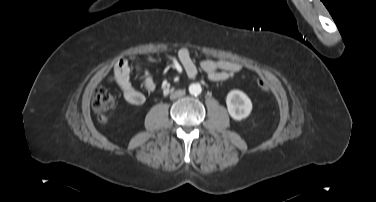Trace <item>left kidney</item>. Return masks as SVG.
<instances>
[{"instance_id": "left-kidney-1", "label": "left kidney", "mask_w": 376, "mask_h": 202, "mask_svg": "<svg viewBox=\"0 0 376 202\" xmlns=\"http://www.w3.org/2000/svg\"><path fill=\"white\" fill-rule=\"evenodd\" d=\"M226 104L230 116L235 120L247 118L252 110L250 98L240 90L230 91L227 94Z\"/></svg>"}]
</instances>
